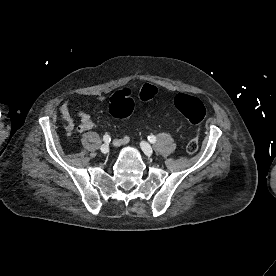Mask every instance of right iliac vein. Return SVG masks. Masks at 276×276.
<instances>
[{
    "instance_id": "right-iliac-vein-1",
    "label": "right iliac vein",
    "mask_w": 276,
    "mask_h": 276,
    "mask_svg": "<svg viewBox=\"0 0 276 276\" xmlns=\"http://www.w3.org/2000/svg\"><path fill=\"white\" fill-rule=\"evenodd\" d=\"M102 153L106 154L109 151V146L107 144H103L100 147Z\"/></svg>"
}]
</instances>
